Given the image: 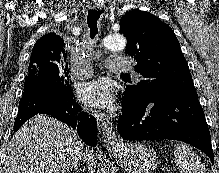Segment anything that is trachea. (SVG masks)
<instances>
[{
	"label": "trachea",
	"mask_w": 219,
	"mask_h": 173,
	"mask_svg": "<svg viewBox=\"0 0 219 173\" xmlns=\"http://www.w3.org/2000/svg\"><path fill=\"white\" fill-rule=\"evenodd\" d=\"M104 10H88L87 23L90 29V38L94 39L98 34V20Z\"/></svg>",
	"instance_id": "obj_1"
}]
</instances>
